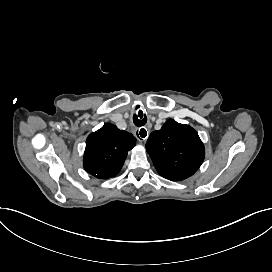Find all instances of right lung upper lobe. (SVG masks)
<instances>
[{"label":"right lung upper lobe","mask_w":272,"mask_h":272,"mask_svg":"<svg viewBox=\"0 0 272 272\" xmlns=\"http://www.w3.org/2000/svg\"><path fill=\"white\" fill-rule=\"evenodd\" d=\"M136 143V138L115 125L105 124L87 138L83 158L85 170L99 179L115 177Z\"/></svg>","instance_id":"1"}]
</instances>
